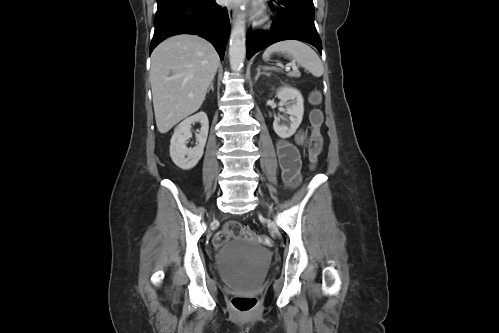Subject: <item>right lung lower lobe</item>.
I'll return each mask as SVG.
<instances>
[{
    "label": "right lung lower lobe",
    "mask_w": 499,
    "mask_h": 333,
    "mask_svg": "<svg viewBox=\"0 0 499 333\" xmlns=\"http://www.w3.org/2000/svg\"><path fill=\"white\" fill-rule=\"evenodd\" d=\"M150 54L163 40L178 34H194L210 41L223 60L230 30L227 10L214 0H157Z\"/></svg>",
    "instance_id": "obj_1"
}]
</instances>
